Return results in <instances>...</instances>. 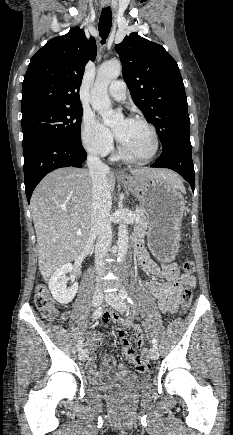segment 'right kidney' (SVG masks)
<instances>
[{
    "label": "right kidney",
    "instance_id": "ca27d5eb",
    "mask_svg": "<svg viewBox=\"0 0 233 435\" xmlns=\"http://www.w3.org/2000/svg\"><path fill=\"white\" fill-rule=\"evenodd\" d=\"M73 271V266L71 263L63 265L61 268L57 269L49 280V289L53 298L60 304L70 303L77 291L78 283H74L70 288L66 286V274Z\"/></svg>",
    "mask_w": 233,
    "mask_h": 435
}]
</instances>
